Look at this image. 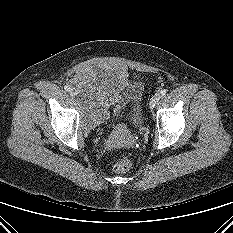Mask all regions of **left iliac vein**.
Segmentation results:
<instances>
[{
    "label": "left iliac vein",
    "mask_w": 233,
    "mask_h": 233,
    "mask_svg": "<svg viewBox=\"0 0 233 233\" xmlns=\"http://www.w3.org/2000/svg\"><path fill=\"white\" fill-rule=\"evenodd\" d=\"M158 100H159V97L157 95L153 96L150 99L149 106H150L151 109H153L156 106V104L158 103Z\"/></svg>",
    "instance_id": "4c4485c4"
}]
</instances>
